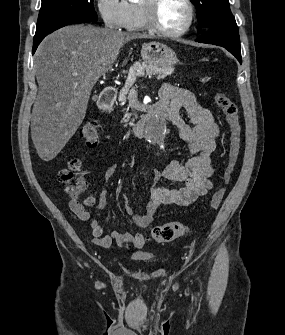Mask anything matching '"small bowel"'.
<instances>
[{"instance_id":"c3829d8e","label":"small bowel","mask_w":285,"mask_h":335,"mask_svg":"<svg viewBox=\"0 0 285 335\" xmlns=\"http://www.w3.org/2000/svg\"><path fill=\"white\" fill-rule=\"evenodd\" d=\"M159 95L161 101L168 102L175 110V117L171 121L178 136L188 145L189 155L185 162L171 161L163 169L152 171V186L144 214H136L124 196L126 213L137 227L143 229L151 225L161 206H188L205 195L213 186L211 178L216 169L213 154L218 146L219 126L211 111L203 108L192 92L171 84H164ZM181 111L186 113L188 121L181 116ZM115 172L116 165L107 163L106 180L109 181ZM161 177L176 182L177 186L170 188L158 185ZM82 180L85 185L82 190L71 194L69 206L81 221L89 223L92 243L108 247L113 241L120 244L129 241L136 248H143L147 243L143 233L132 235L116 230L105 233L99 223L91 218L87 208L104 207L108 201V190L104 187L98 197L80 199L81 192L86 188V181Z\"/></svg>"}]
</instances>
